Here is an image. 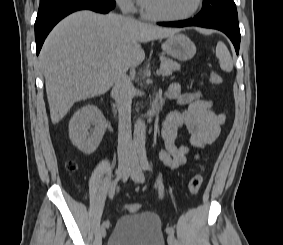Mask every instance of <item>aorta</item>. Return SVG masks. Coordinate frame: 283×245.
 Listing matches in <instances>:
<instances>
[{
    "label": "aorta",
    "mask_w": 283,
    "mask_h": 245,
    "mask_svg": "<svg viewBox=\"0 0 283 245\" xmlns=\"http://www.w3.org/2000/svg\"><path fill=\"white\" fill-rule=\"evenodd\" d=\"M146 125L142 119H137L134 125L133 146L136 151L145 150Z\"/></svg>",
    "instance_id": "obj_1"
}]
</instances>
